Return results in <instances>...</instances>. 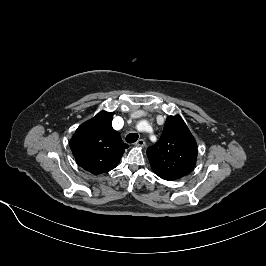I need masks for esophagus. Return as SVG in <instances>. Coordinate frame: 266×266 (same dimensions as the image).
Wrapping results in <instances>:
<instances>
[{
  "label": "esophagus",
  "mask_w": 266,
  "mask_h": 266,
  "mask_svg": "<svg viewBox=\"0 0 266 266\" xmlns=\"http://www.w3.org/2000/svg\"><path fill=\"white\" fill-rule=\"evenodd\" d=\"M136 146L138 147H144L145 146V141L143 139H139L136 143Z\"/></svg>",
  "instance_id": "esophagus-1"
}]
</instances>
